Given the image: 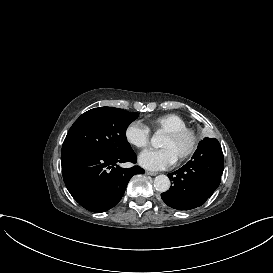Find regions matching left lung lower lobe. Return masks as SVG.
<instances>
[{
    "label": "left lung lower lobe",
    "instance_id": "left-lung-lower-lobe-1",
    "mask_svg": "<svg viewBox=\"0 0 273 273\" xmlns=\"http://www.w3.org/2000/svg\"><path fill=\"white\" fill-rule=\"evenodd\" d=\"M223 167L220 143L215 138H204L192 159L179 170L168 174L173 186L161 194L162 200L177 210L203 205L219 186Z\"/></svg>",
    "mask_w": 273,
    "mask_h": 273
}]
</instances>
